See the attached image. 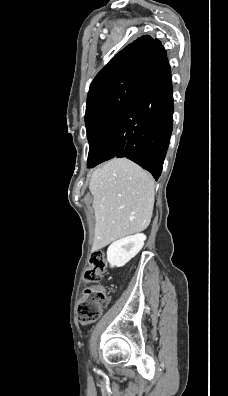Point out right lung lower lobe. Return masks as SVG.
<instances>
[{"mask_svg": "<svg viewBox=\"0 0 228 396\" xmlns=\"http://www.w3.org/2000/svg\"><path fill=\"white\" fill-rule=\"evenodd\" d=\"M144 75L108 131L91 168L126 157L158 180L173 124V94L167 54L161 46L143 61Z\"/></svg>", "mask_w": 228, "mask_h": 396, "instance_id": "right-lung-lower-lobe-1", "label": "right lung lower lobe"}]
</instances>
